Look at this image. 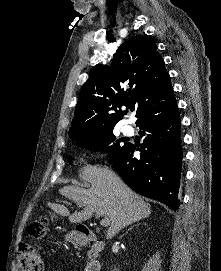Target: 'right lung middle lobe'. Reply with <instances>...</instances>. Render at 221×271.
Masks as SVG:
<instances>
[{"label": "right lung middle lobe", "mask_w": 221, "mask_h": 271, "mask_svg": "<svg viewBox=\"0 0 221 271\" xmlns=\"http://www.w3.org/2000/svg\"><path fill=\"white\" fill-rule=\"evenodd\" d=\"M74 140L77 141V145L81 148L84 147L89 150H103L107 152L111 161H114L128 145L126 143L123 146L119 144L121 140H116V137L113 135V128L103 132L85 135Z\"/></svg>", "instance_id": "right-lung-middle-lobe-1"}]
</instances>
